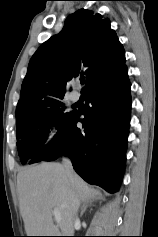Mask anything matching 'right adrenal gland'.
<instances>
[{
	"mask_svg": "<svg viewBox=\"0 0 158 237\" xmlns=\"http://www.w3.org/2000/svg\"><path fill=\"white\" fill-rule=\"evenodd\" d=\"M98 199H102V197L99 196V197L96 198V200H98ZM93 201H94V200H89V201H86V202L83 204V206H82V208H81V213H80V216H81V217L83 216V214H84V212L86 211V209H87L89 206H91V204L93 203Z\"/></svg>",
	"mask_w": 158,
	"mask_h": 237,
	"instance_id": "2a0ac1e0",
	"label": "right adrenal gland"
}]
</instances>
